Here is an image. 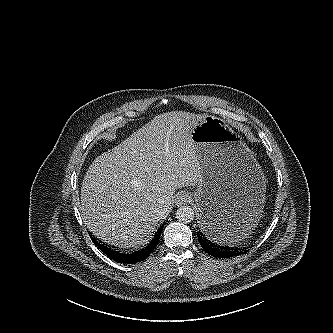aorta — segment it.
Segmentation results:
<instances>
[{
  "label": "aorta",
  "mask_w": 333,
  "mask_h": 333,
  "mask_svg": "<svg viewBox=\"0 0 333 333\" xmlns=\"http://www.w3.org/2000/svg\"><path fill=\"white\" fill-rule=\"evenodd\" d=\"M176 218L179 222L190 223L194 220V210L190 206H181L176 211Z\"/></svg>",
  "instance_id": "obj_1"
}]
</instances>
